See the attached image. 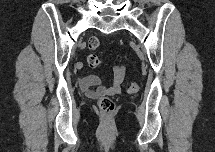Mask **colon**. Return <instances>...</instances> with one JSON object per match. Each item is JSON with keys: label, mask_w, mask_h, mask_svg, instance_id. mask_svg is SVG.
<instances>
[{"label": "colon", "mask_w": 215, "mask_h": 152, "mask_svg": "<svg viewBox=\"0 0 215 152\" xmlns=\"http://www.w3.org/2000/svg\"><path fill=\"white\" fill-rule=\"evenodd\" d=\"M99 44H100L99 40L96 37H91L88 40V48L90 50L97 49L99 47ZM100 62H101L100 58L95 54H90L87 57V63L92 68L98 67L100 65ZM138 90H139V85L135 81L129 82L126 85V91L129 94H135L138 92ZM98 106H99V109L105 114H110L115 109L114 101L109 97H101L98 101Z\"/></svg>", "instance_id": "1"}]
</instances>
